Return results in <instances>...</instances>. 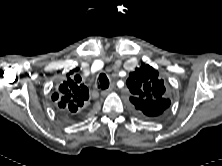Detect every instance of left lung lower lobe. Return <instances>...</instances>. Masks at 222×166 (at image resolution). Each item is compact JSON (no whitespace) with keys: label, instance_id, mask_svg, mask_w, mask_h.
I'll return each mask as SVG.
<instances>
[{"label":"left lung lower lobe","instance_id":"obj_1","mask_svg":"<svg viewBox=\"0 0 222 166\" xmlns=\"http://www.w3.org/2000/svg\"><path fill=\"white\" fill-rule=\"evenodd\" d=\"M166 103H165V106H166V109L170 106V100L168 99H165L164 100Z\"/></svg>","mask_w":222,"mask_h":166}]
</instances>
